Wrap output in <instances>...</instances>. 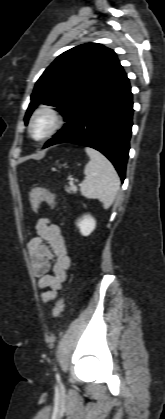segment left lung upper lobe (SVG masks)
Instances as JSON below:
<instances>
[{
    "instance_id": "5c2ea615",
    "label": "left lung upper lobe",
    "mask_w": 165,
    "mask_h": 419,
    "mask_svg": "<svg viewBox=\"0 0 165 419\" xmlns=\"http://www.w3.org/2000/svg\"><path fill=\"white\" fill-rule=\"evenodd\" d=\"M122 72L115 52L101 44H82L62 53L36 82L25 123L39 103L58 107L68 120Z\"/></svg>"
}]
</instances>
